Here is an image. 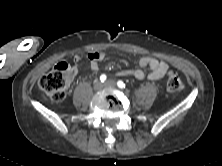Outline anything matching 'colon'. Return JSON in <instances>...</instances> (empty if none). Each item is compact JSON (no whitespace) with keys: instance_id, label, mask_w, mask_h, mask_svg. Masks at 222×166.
<instances>
[{"instance_id":"colon-1","label":"colon","mask_w":222,"mask_h":166,"mask_svg":"<svg viewBox=\"0 0 222 166\" xmlns=\"http://www.w3.org/2000/svg\"><path fill=\"white\" fill-rule=\"evenodd\" d=\"M72 75L73 68L61 62L39 79L38 86L52 100L62 101L66 97ZM166 86L170 93H178L183 90L184 83L179 74L172 70L167 74Z\"/></svg>"}]
</instances>
